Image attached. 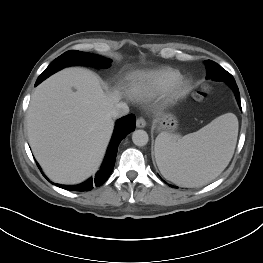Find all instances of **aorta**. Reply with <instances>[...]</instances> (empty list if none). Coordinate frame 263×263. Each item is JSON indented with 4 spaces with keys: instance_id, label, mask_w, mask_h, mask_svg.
Returning a JSON list of instances; mask_svg holds the SVG:
<instances>
[{
    "instance_id": "obj_1",
    "label": "aorta",
    "mask_w": 263,
    "mask_h": 263,
    "mask_svg": "<svg viewBox=\"0 0 263 263\" xmlns=\"http://www.w3.org/2000/svg\"><path fill=\"white\" fill-rule=\"evenodd\" d=\"M132 141L136 146H145L149 141L147 132L144 130H135L132 134Z\"/></svg>"
}]
</instances>
